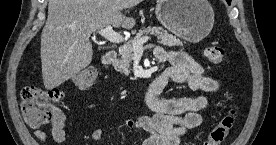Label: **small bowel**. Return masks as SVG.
I'll return each mask as SVG.
<instances>
[{
  "mask_svg": "<svg viewBox=\"0 0 276 145\" xmlns=\"http://www.w3.org/2000/svg\"><path fill=\"white\" fill-rule=\"evenodd\" d=\"M154 53L159 60H167L170 63V67L159 77L165 85L171 81L187 84L194 91L214 92L219 89L218 81L206 76L201 64L187 53L166 51L162 47H156ZM156 80L151 83L144 97L145 105L153 115L127 119L126 125L149 133L142 145H180L182 136L202 123L201 112L207 106V99L204 96L161 98L160 94L165 85L162 88L157 87ZM87 106L94 105L87 104ZM65 125L66 116L62 111L56 110L51 135L59 145L66 141ZM35 136L41 142H47V135L44 132L36 130ZM102 137L101 129H94L90 133V138L96 142H100Z\"/></svg>",
  "mask_w": 276,
  "mask_h": 145,
  "instance_id": "obj_1",
  "label": "small bowel"
}]
</instances>
